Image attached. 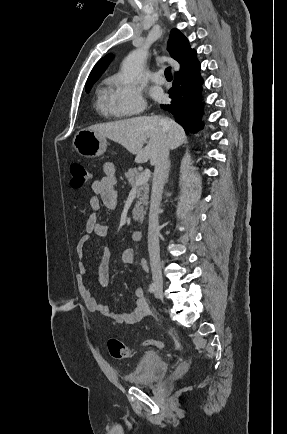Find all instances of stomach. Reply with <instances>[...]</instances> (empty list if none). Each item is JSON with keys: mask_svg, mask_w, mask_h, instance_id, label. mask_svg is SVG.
Returning a JSON list of instances; mask_svg holds the SVG:
<instances>
[{"mask_svg": "<svg viewBox=\"0 0 287 434\" xmlns=\"http://www.w3.org/2000/svg\"><path fill=\"white\" fill-rule=\"evenodd\" d=\"M73 146L81 156L94 158L106 151L107 140L89 128H84L75 134Z\"/></svg>", "mask_w": 287, "mask_h": 434, "instance_id": "stomach-1", "label": "stomach"}]
</instances>
